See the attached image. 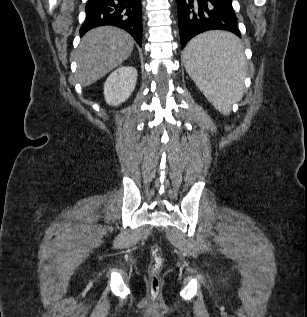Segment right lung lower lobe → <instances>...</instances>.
<instances>
[{
  "mask_svg": "<svg viewBox=\"0 0 307 317\" xmlns=\"http://www.w3.org/2000/svg\"><path fill=\"white\" fill-rule=\"evenodd\" d=\"M80 35L94 27L112 25L126 30L142 45L141 0H88Z\"/></svg>",
  "mask_w": 307,
  "mask_h": 317,
  "instance_id": "obj_1",
  "label": "right lung lower lobe"
}]
</instances>
